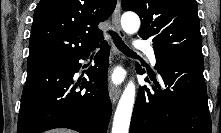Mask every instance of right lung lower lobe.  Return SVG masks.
I'll return each mask as SVG.
<instances>
[{"mask_svg":"<svg viewBox=\"0 0 221 133\" xmlns=\"http://www.w3.org/2000/svg\"><path fill=\"white\" fill-rule=\"evenodd\" d=\"M89 53L28 64L17 133H40L54 128L106 133L112 112L107 90L106 42L95 56L94 66L87 71L96 85L83 79L81 89L86 90L78 92L77 84L73 85V76L81 68L79 60H85Z\"/></svg>","mask_w":221,"mask_h":133,"instance_id":"1","label":"right lung lower lobe"}]
</instances>
